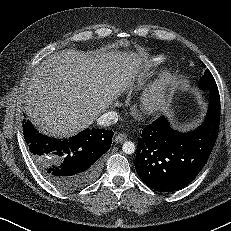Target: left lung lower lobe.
Wrapping results in <instances>:
<instances>
[{
  "mask_svg": "<svg viewBox=\"0 0 231 231\" xmlns=\"http://www.w3.org/2000/svg\"><path fill=\"white\" fill-rule=\"evenodd\" d=\"M220 124V96L210 91L204 122L195 130L179 132L162 116L143 129L135 158L140 179L158 192L188 185L207 162Z\"/></svg>",
  "mask_w": 231,
  "mask_h": 231,
  "instance_id": "left-lung-lower-lobe-1",
  "label": "left lung lower lobe"
}]
</instances>
